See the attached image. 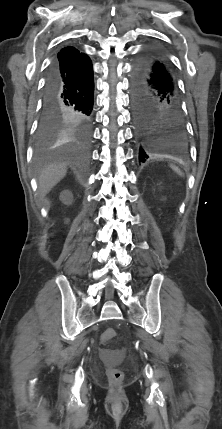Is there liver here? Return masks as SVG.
<instances>
[{
	"label": "liver",
	"mask_w": 222,
	"mask_h": 429,
	"mask_svg": "<svg viewBox=\"0 0 222 429\" xmlns=\"http://www.w3.org/2000/svg\"><path fill=\"white\" fill-rule=\"evenodd\" d=\"M65 163H54L45 166L38 176V190L44 197L66 175Z\"/></svg>",
	"instance_id": "obj_1"
}]
</instances>
